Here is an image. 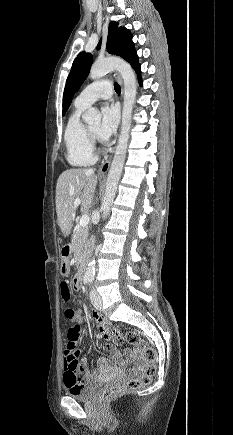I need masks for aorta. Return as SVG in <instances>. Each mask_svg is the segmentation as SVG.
Wrapping results in <instances>:
<instances>
[{
	"label": "aorta",
	"mask_w": 233,
	"mask_h": 435,
	"mask_svg": "<svg viewBox=\"0 0 233 435\" xmlns=\"http://www.w3.org/2000/svg\"><path fill=\"white\" fill-rule=\"evenodd\" d=\"M113 70H117L124 82V103L122 111V125L121 132L114 154V158L111 163L110 170L108 172L105 194L102 200V218H107L110 213V208L116 196L118 182L123 170L126 152L129 141V133L131 129V119L133 105L136 98V76L131 66L118 58H107L96 61L90 70V78H101ZM83 119L89 124H99L101 121V114L94 108L88 109L83 115ZM95 275V260L89 261L84 278L92 281Z\"/></svg>",
	"instance_id": "aorta-1"
}]
</instances>
